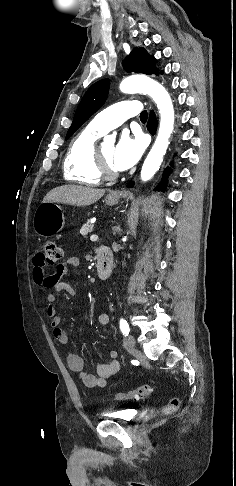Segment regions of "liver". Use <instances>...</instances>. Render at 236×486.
<instances>
[{
	"label": "liver",
	"mask_w": 236,
	"mask_h": 486,
	"mask_svg": "<svg viewBox=\"0 0 236 486\" xmlns=\"http://www.w3.org/2000/svg\"><path fill=\"white\" fill-rule=\"evenodd\" d=\"M104 189H94L78 185H64L49 191L43 202H55L76 206H88L98 201Z\"/></svg>",
	"instance_id": "liver-1"
}]
</instances>
